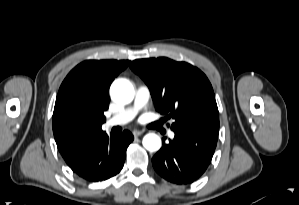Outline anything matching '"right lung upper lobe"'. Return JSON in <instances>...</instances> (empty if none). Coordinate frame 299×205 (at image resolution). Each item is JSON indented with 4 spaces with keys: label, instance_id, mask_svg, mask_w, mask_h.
Listing matches in <instances>:
<instances>
[{
    "label": "right lung upper lobe",
    "instance_id": "obj_1",
    "mask_svg": "<svg viewBox=\"0 0 299 205\" xmlns=\"http://www.w3.org/2000/svg\"><path fill=\"white\" fill-rule=\"evenodd\" d=\"M128 60H87L77 65L60 86L54 112L53 133L66 163L89 143L106 133L101 129L109 107L108 91Z\"/></svg>",
    "mask_w": 299,
    "mask_h": 205
}]
</instances>
